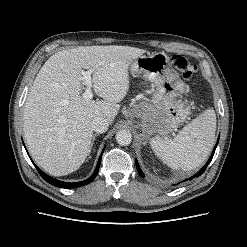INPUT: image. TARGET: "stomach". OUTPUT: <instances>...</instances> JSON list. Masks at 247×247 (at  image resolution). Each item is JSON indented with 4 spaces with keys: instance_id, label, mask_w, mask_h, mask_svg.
I'll return each instance as SVG.
<instances>
[{
    "instance_id": "stomach-1",
    "label": "stomach",
    "mask_w": 247,
    "mask_h": 247,
    "mask_svg": "<svg viewBox=\"0 0 247 247\" xmlns=\"http://www.w3.org/2000/svg\"><path fill=\"white\" fill-rule=\"evenodd\" d=\"M130 71L132 76L151 82L154 88L152 99L135 107L137 127L144 136L168 135L190 114L182 101L187 86L172 70L170 57L164 52L142 55L132 62Z\"/></svg>"
}]
</instances>
